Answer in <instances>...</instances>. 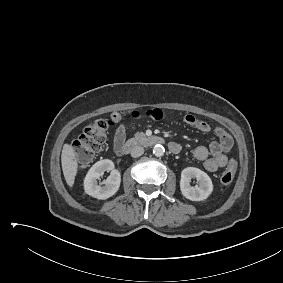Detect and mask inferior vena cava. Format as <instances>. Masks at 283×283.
Segmentation results:
<instances>
[{
    "label": "inferior vena cava",
    "instance_id": "1",
    "mask_svg": "<svg viewBox=\"0 0 283 283\" xmlns=\"http://www.w3.org/2000/svg\"><path fill=\"white\" fill-rule=\"evenodd\" d=\"M143 153H144V148L141 146H135L131 149V156L134 158L143 155Z\"/></svg>",
    "mask_w": 283,
    "mask_h": 283
}]
</instances>
